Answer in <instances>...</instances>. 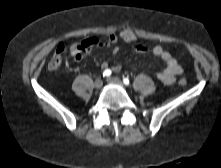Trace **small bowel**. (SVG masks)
Here are the masks:
<instances>
[{"mask_svg":"<svg viewBox=\"0 0 221 168\" xmlns=\"http://www.w3.org/2000/svg\"><path fill=\"white\" fill-rule=\"evenodd\" d=\"M118 41L117 34H111L109 36V43L115 44ZM123 41V40H122ZM129 43V42H126ZM132 44V50L136 53H146L148 51V47L141 43H131ZM119 48L114 47L112 50V53L114 55L118 54ZM151 52L153 55L159 57L166 65V67L161 71L157 73V78L164 84L170 85L173 84L176 80V77L181 75L183 72L182 67L177 62V60L166 50H164L161 46L157 45L154 46L151 49ZM86 57V54H83L76 60H81ZM101 67L104 70L112 69L115 73L120 72L121 65L116 64L114 66H110L109 62L104 61L101 64Z\"/></svg>","mask_w":221,"mask_h":168,"instance_id":"c3829d8e","label":"small bowel"}]
</instances>
